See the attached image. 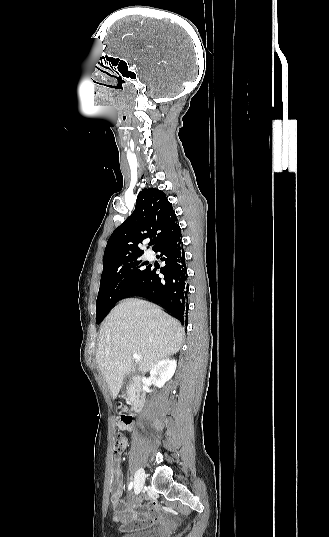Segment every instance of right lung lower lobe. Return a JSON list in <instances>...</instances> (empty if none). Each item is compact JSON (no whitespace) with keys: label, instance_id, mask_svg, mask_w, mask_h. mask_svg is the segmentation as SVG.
I'll list each match as a JSON object with an SVG mask.
<instances>
[{"label":"right lung lower lobe","instance_id":"right-lung-lower-lobe-1","mask_svg":"<svg viewBox=\"0 0 329 537\" xmlns=\"http://www.w3.org/2000/svg\"><path fill=\"white\" fill-rule=\"evenodd\" d=\"M155 251L161 253L157 257L165 263L164 267L159 268L163 276L156 273L157 267L148 265L147 271L127 297L147 298L165 307L169 314L184 323L187 319L189 285L181 229Z\"/></svg>","mask_w":329,"mask_h":537}]
</instances>
